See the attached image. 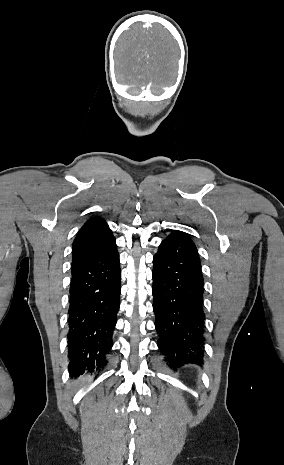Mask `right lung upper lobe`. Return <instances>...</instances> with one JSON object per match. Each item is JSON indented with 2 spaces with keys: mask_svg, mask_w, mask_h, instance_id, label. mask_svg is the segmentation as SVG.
I'll list each match as a JSON object with an SVG mask.
<instances>
[{
  "mask_svg": "<svg viewBox=\"0 0 284 465\" xmlns=\"http://www.w3.org/2000/svg\"><path fill=\"white\" fill-rule=\"evenodd\" d=\"M113 237L105 220L98 217L89 219L73 242V261L98 249Z\"/></svg>",
  "mask_w": 284,
  "mask_h": 465,
  "instance_id": "obj_1",
  "label": "right lung upper lobe"
}]
</instances>
